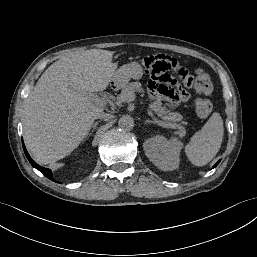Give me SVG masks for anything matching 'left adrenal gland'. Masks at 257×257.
<instances>
[{
    "label": "left adrenal gland",
    "instance_id": "left-adrenal-gland-1",
    "mask_svg": "<svg viewBox=\"0 0 257 257\" xmlns=\"http://www.w3.org/2000/svg\"><path fill=\"white\" fill-rule=\"evenodd\" d=\"M147 123H153V124H155V121L147 119V120L144 122V124H147Z\"/></svg>",
    "mask_w": 257,
    "mask_h": 257
}]
</instances>
